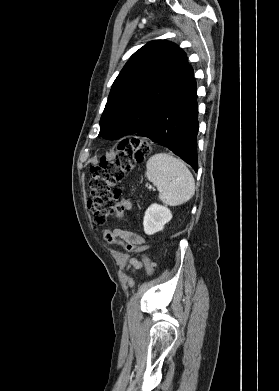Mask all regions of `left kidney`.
<instances>
[{
  "label": "left kidney",
  "instance_id": "1",
  "mask_svg": "<svg viewBox=\"0 0 279 391\" xmlns=\"http://www.w3.org/2000/svg\"><path fill=\"white\" fill-rule=\"evenodd\" d=\"M171 219L172 214L169 208L154 203L145 211L143 219L144 232L147 235L155 234L163 230L165 224Z\"/></svg>",
  "mask_w": 279,
  "mask_h": 391
}]
</instances>
